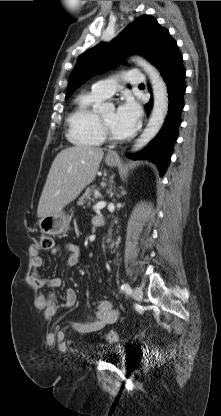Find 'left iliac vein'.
<instances>
[{"label": "left iliac vein", "mask_w": 221, "mask_h": 416, "mask_svg": "<svg viewBox=\"0 0 221 416\" xmlns=\"http://www.w3.org/2000/svg\"><path fill=\"white\" fill-rule=\"evenodd\" d=\"M132 295H133L135 300L141 301L142 297H143V291L140 287H135L133 289Z\"/></svg>", "instance_id": "1"}]
</instances>
